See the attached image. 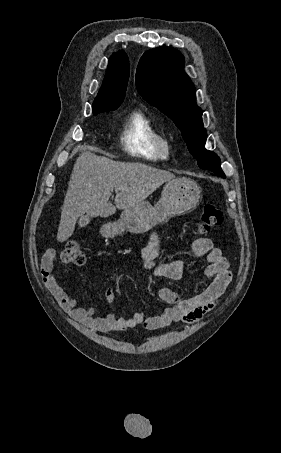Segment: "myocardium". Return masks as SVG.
Instances as JSON below:
<instances>
[{
    "mask_svg": "<svg viewBox=\"0 0 281 453\" xmlns=\"http://www.w3.org/2000/svg\"><path fill=\"white\" fill-rule=\"evenodd\" d=\"M170 153V144L166 138H163V146L161 150V156L166 157Z\"/></svg>",
    "mask_w": 281,
    "mask_h": 453,
    "instance_id": "f54148a6",
    "label": "myocardium"
}]
</instances>
